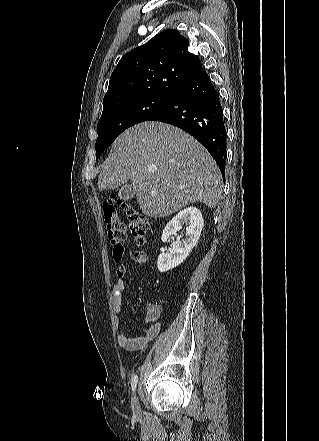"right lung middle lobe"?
<instances>
[{"instance_id":"dd1d6c3e","label":"right lung middle lobe","mask_w":319,"mask_h":441,"mask_svg":"<svg viewBox=\"0 0 319 441\" xmlns=\"http://www.w3.org/2000/svg\"><path fill=\"white\" fill-rule=\"evenodd\" d=\"M171 98L149 96L115 104L103 110L97 124L96 159L127 128L150 119L161 111Z\"/></svg>"}]
</instances>
